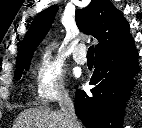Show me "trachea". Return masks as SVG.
<instances>
[{
    "mask_svg": "<svg viewBox=\"0 0 142 128\" xmlns=\"http://www.w3.org/2000/svg\"><path fill=\"white\" fill-rule=\"evenodd\" d=\"M87 57L94 59V46H90L87 52Z\"/></svg>",
    "mask_w": 142,
    "mask_h": 128,
    "instance_id": "3493384b",
    "label": "trachea"
}]
</instances>
